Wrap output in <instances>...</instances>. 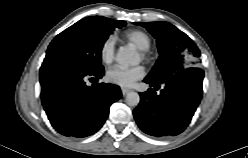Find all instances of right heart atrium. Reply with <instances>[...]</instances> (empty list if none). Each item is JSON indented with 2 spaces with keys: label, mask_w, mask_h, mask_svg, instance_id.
Here are the masks:
<instances>
[{
  "label": "right heart atrium",
  "mask_w": 248,
  "mask_h": 158,
  "mask_svg": "<svg viewBox=\"0 0 248 158\" xmlns=\"http://www.w3.org/2000/svg\"><path fill=\"white\" fill-rule=\"evenodd\" d=\"M114 43L112 38H106L100 46V59L103 63L109 64L114 59Z\"/></svg>",
  "instance_id": "1"
}]
</instances>
